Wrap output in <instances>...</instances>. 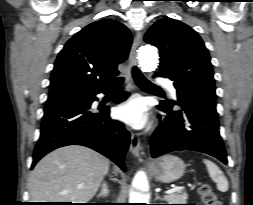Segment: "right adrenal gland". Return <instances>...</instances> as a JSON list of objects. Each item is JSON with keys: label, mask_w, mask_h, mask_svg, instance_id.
Segmentation results:
<instances>
[{"label": "right adrenal gland", "mask_w": 253, "mask_h": 205, "mask_svg": "<svg viewBox=\"0 0 253 205\" xmlns=\"http://www.w3.org/2000/svg\"><path fill=\"white\" fill-rule=\"evenodd\" d=\"M109 194V189H108V185L107 182H103L102 184V188L101 191L98 193L97 197H107Z\"/></svg>", "instance_id": "1"}]
</instances>
